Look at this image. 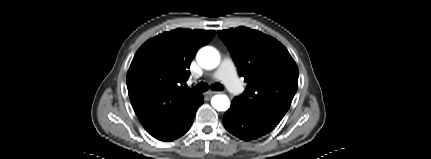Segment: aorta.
I'll list each match as a JSON object with an SVG mask.
<instances>
[{"label": "aorta", "instance_id": "1", "mask_svg": "<svg viewBox=\"0 0 431 159\" xmlns=\"http://www.w3.org/2000/svg\"><path fill=\"white\" fill-rule=\"evenodd\" d=\"M196 59L202 68L210 70L219 65L220 55L215 48L206 46L198 51ZM211 104L217 111H226L230 107V101L226 95L213 96Z\"/></svg>", "mask_w": 431, "mask_h": 159}]
</instances>
